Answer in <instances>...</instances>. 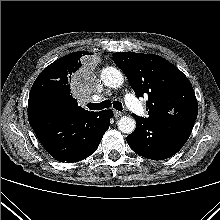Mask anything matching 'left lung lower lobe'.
I'll return each mask as SVG.
<instances>
[{"mask_svg": "<svg viewBox=\"0 0 220 220\" xmlns=\"http://www.w3.org/2000/svg\"><path fill=\"white\" fill-rule=\"evenodd\" d=\"M133 116L136 129L126 140L134 152L152 160H163L176 154L188 140L195 123L188 118L151 121Z\"/></svg>", "mask_w": 220, "mask_h": 220, "instance_id": "0a47b994", "label": "left lung lower lobe"}]
</instances>
